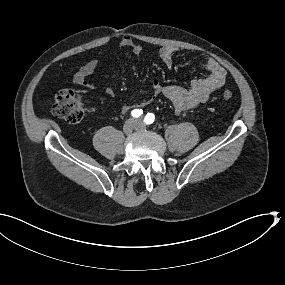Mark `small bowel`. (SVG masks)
<instances>
[{
	"instance_id": "1",
	"label": "small bowel",
	"mask_w": 285,
	"mask_h": 285,
	"mask_svg": "<svg viewBox=\"0 0 285 285\" xmlns=\"http://www.w3.org/2000/svg\"><path fill=\"white\" fill-rule=\"evenodd\" d=\"M120 45L130 49L136 55H140L143 51L142 46L136 43L131 37H123ZM177 51L174 47H163L159 51V57L163 63L171 65ZM201 63L206 69L204 77L193 79L187 88L178 85H162L160 82L155 81L152 85V96L164 95L171 101L177 113L194 108L208 101L212 92L223 87L226 79V71L216 60L208 56L204 57ZM97 67L98 61L96 59L87 62L74 75V83L88 90L94 89L95 85L88 81V77L96 71ZM106 94L114 96L115 91L112 87H108ZM145 104L146 102L141 104L126 103L122 106L121 110L122 112H128L138 107V105Z\"/></svg>"
}]
</instances>
